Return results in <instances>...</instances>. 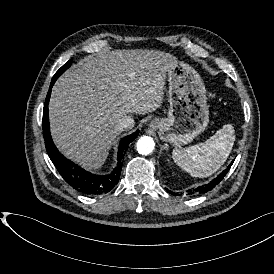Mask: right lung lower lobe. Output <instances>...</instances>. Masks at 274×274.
Returning a JSON list of instances; mask_svg holds the SVG:
<instances>
[{"instance_id": "1", "label": "right lung lower lobe", "mask_w": 274, "mask_h": 274, "mask_svg": "<svg viewBox=\"0 0 274 274\" xmlns=\"http://www.w3.org/2000/svg\"><path fill=\"white\" fill-rule=\"evenodd\" d=\"M58 77L52 78L50 88L45 100L43 110V135L47 153L63 179L77 191L86 195H101L109 192L119 181L123 163V152L127 146L138 136L139 130L123 138L118 151V163L116 169L109 175L91 174L70 160L66 159L55 147L49 129L48 103L51 95V88Z\"/></svg>"}]
</instances>
